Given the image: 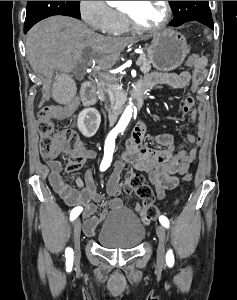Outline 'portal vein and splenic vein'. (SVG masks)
Wrapping results in <instances>:
<instances>
[{
    "label": "portal vein and splenic vein",
    "mask_w": 237,
    "mask_h": 300,
    "mask_svg": "<svg viewBox=\"0 0 237 300\" xmlns=\"http://www.w3.org/2000/svg\"><path fill=\"white\" fill-rule=\"evenodd\" d=\"M136 62H137V64H138L139 66L142 64V63H141L140 61H138V60H137ZM136 66H137V65H136Z\"/></svg>",
    "instance_id": "portal-vein-and-splenic-vein-1"
}]
</instances>
